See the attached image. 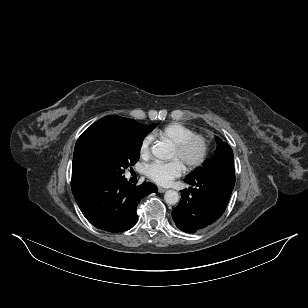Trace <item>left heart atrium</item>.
<instances>
[{
    "label": "left heart atrium",
    "instance_id": "left-heart-atrium-1",
    "mask_svg": "<svg viewBox=\"0 0 308 308\" xmlns=\"http://www.w3.org/2000/svg\"><path fill=\"white\" fill-rule=\"evenodd\" d=\"M185 170L184 163L174 158L169 162H153L146 166L145 174L153 182L159 185H168L179 177Z\"/></svg>",
    "mask_w": 308,
    "mask_h": 308
}]
</instances>
